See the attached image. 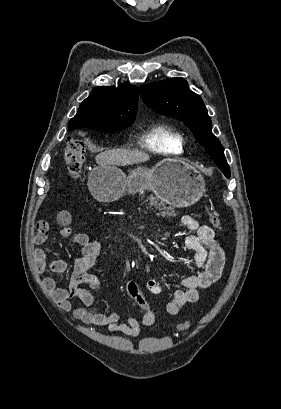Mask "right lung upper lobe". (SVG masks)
I'll list each match as a JSON object with an SVG mask.
<instances>
[{
    "label": "right lung upper lobe",
    "instance_id": "1",
    "mask_svg": "<svg viewBox=\"0 0 281 409\" xmlns=\"http://www.w3.org/2000/svg\"><path fill=\"white\" fill-rule=\"evenodd\" d=\"M138 105V88L132 85L102 86L85 99L69 121L73 130L89 126L131 125Z\"/></svg>",
    "mask_w": 281,
    "mask_h": 409
}]
</instances>
